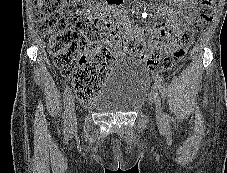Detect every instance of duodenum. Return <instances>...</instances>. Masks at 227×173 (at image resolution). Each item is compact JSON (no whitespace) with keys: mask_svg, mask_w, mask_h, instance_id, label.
I'll use <instances>...</instances> for the list:
<instances>
[{"mask_svg":"<svg viewBox=\"0 0 227 173\" xmlns=\"http://www.w3.org/2000/svg\"><path fill=\"white\" fill-rule=\"evenodd\" d=\"M105 1L109 5H115L118 4L121 0H105Z\"/></svg>","mask_w":227,"mask_h":173,"instance_id":"obj_1","label":"duodenum"}]
</instances>
